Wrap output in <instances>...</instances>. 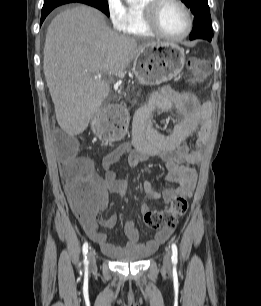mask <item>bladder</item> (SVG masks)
<instances>
[{
  "label": "bladder",
  "instance_id": "obj_1",
  "mask_svg": "<svg viewBox=\"0 0 261 306\" xmlns=\"http://www.w3.org/2000/svg\"><path fill=\"white\" fill-rule=\"evenodd\" d=\"M146 259L145 254H130V255H121L116 257V262H123V263H137L142 262Z\"/></svg>",
  "mask_w": 261,
  "mask_h": 306
}]
</instances>
